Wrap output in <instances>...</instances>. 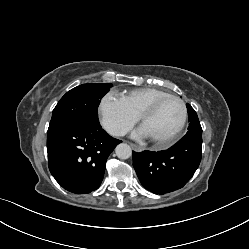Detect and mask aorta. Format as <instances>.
<instances>
[{"instance_id":"aorta-1","label":"aorta","mask_w":249,"mask_h":249,"mask_svg":"<svg viewBox=\"0 0 249 249\" xmlns=\"http://www.w3.org/2000/svg\"><path fill=\"white\" fill-rule=\"evenodd\" d=\"M115 153L120 159H128L132 156L131 147L126 143H121L116 146Z\"/></svg>"}]
</instances>
